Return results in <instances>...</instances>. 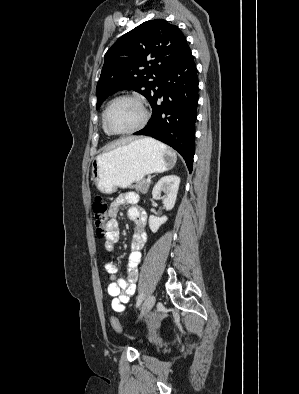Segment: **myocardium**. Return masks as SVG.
Returning a JSON list of instances; mask_svg holds the SVG:
<instances>
[{
	"mask_svg": "<svg viewBox=\"0 0 299 394\" xmlns=\"http://www.w3.org/2000/svg\"><path fill=\"white\" fill-rule=\"evenodd\" d=\"M125 99L133 100L140 106V108L142 110V119L139 122V124L136 125L135 127H133L132 129H129L127 131H121V132L114 131L113 129H111V127L109 126V123H108L109 111H110L111 107L116 102H118L119 100H125ZM149 117H150V112L148 110V107L146 106V103L144 102V100L141 97H139L137 95H133V94H123V95H119V96L115 97L114 99H112L109 102V104L107 105V107L104 111V114H103V123H104L106 130L112 135H119V136L130 135V134L136 133V132L140 131L141 129H143L146 126V124L149 120Z\"/></svg>",
	"mask_w": 299,
	"mask_h": 394,
	"instance_id": "myocardium-1",
	"label": "myocardium"
}]
</instances>
